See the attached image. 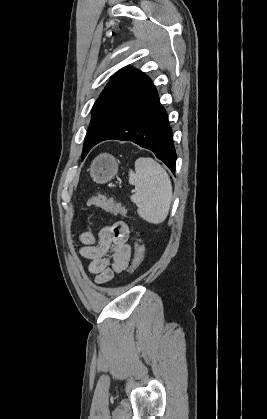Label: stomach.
<instances>
[{
	"label": "stomach",
	"instance_id": "stomach-1",
	"mask_svg": "<svg viewBox=\"0 0 267 419\" xmlns=\"http://www.w3.org/2000/svg\"><path fill=\"white\" fill-rule=\"evenodd\" d=\"M118 163L114 156L103 153L98 155L91 163L89 168L90 175L97 183L110 181L116 175Z\"/></svg>",
	"mask_w": 267,
	"mask_h": 419
}]
</instances>
